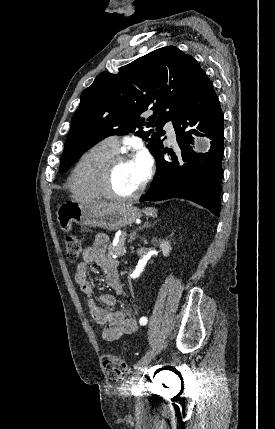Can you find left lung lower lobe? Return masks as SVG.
<instances>
[{
	"mask_svg": "<svg viewBox=\"0 0 275 429\" xmlns=\"http://www.w3.org/2000/svg\"><path fill=\"white\" fill-rule=\"evenodd\" d=\"M223 113L212 83L202 70L192 98L174 121L180 152L166 148L155 156L157 171L150 189L140 201L182 198L193 201L219 216L224 151ZM211 124V125H210ZM206 133L211 142L208 153L193 150L192 135Z\"/></svg>",
	"mask_w": 275,
	"mask_h": 429,
	"instance_id": "left-lung-lower-lobe-1",
	"label": "left lung lower lobe"
}]
</instances>
